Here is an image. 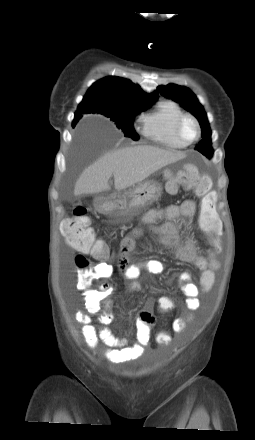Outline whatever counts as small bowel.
I'll use <instances>...</instances> for the list:
<instances>
[{
  "label": "small bowel",
  "mask_w": 255,
  "mask_h": 440,
  "mask_svg": "<svg viewBox=\"0 0 255 440\" xmlns=\"http://www.w3.org/2000/svg\"><path fill=\"white\" fill-rule=\"evenodd\" d=\"M195 215L196 203L188 200L178 205L152 209L143 217V222L149 226L150 233L161 245L171 249L179 260L190 263L202 271L199 286L192 282V276L189 272H182L177 277L178 286L185 296L186 306L191 311H195L200 307L199 294L209 292L213 288L215 271L219 268V262L212 252H209L208 255L199 253L194 242L183 238L180 234L178 221L184 218H193ZM160 220H166V222L158 225L157 222ZM143 233L144 230L138 228L130 236L125 237L121 242L117 255L118 267L122 278L127 282L126 289L128 292H139L141 290L138 278L143 269L152 274H161L165 271L164 264L155 259L148 260L142 265L129 263L128 254L134 249L137 238L142 236ZM100 259L102 261L99 265L105 268V277L108 278L111 275V265L106 261L105 257ZM78 286L81 288L80 285ZM96 297V293L91 295L92 299ZM159 298L171 297L161 296ZM90 307L94 309L92 302ZM112 308L113 301L107 300L104 303V312L99 317L101 324L108 325L111 323L114 316ZM152 309L153 303H148L137 315L135 344H130L125 338L113 335L107 328L97 330L92 323L91 317L83 311L76 312L75 320L81 324L83 338L90 348H96L98 343L102 342L108 347L105 354L107 359L112 362H120L141 355L149 345L151 325L154 322ZM185 325L183 319H176L173 323V331L180 333L185 329Z\"/></svg>",
  "instance_id": "c3829d8e"
}]
</instances>
